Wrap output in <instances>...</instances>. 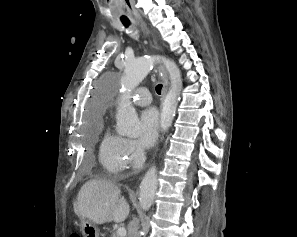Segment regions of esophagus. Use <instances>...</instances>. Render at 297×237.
Wrapping results in <instances>:
<instances>
[{
	"instance_id": "esophagus-1",
	"label": "esophagus",
	"mask_w": 297,
	"mask_h": 237,
	"mask_svg": "<svg viewBox=\"0 0 297 237\" xmlns=\"http://www.w3.org/2000/svg\"><path fill=\"white\" fill-rule=\"evenodd\" d=\"M136 18H138V20L141 23L142 29L149 34V30L146 26V24L144 23V21L141 19V17L138 14H135ZM162 81H163V89H162V100L164 99V97L166 96L167 90H168V77H167V73L165 71V69L162 67Z\"/></svg>"
}]
</instances>
